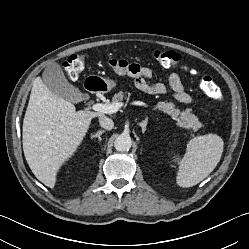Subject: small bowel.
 Listing matches in <instances>:
<instances>
[{"mask_svg": "<svg viewBox=\"0 0 249 249\" xmlns=\"http://www.w3.org/2000/svg\"><path fill=\"white\" fill-rule=\"evenodd\" d=\"M119 74H127L134 81L137 89L152 95H161L166 92V87L162 83L150 84L152 71L148 67L127 62L125 71H117ZM169 85L173 91L174 98L183 104H189L192 101L191 95L185 90L179 74L171 73L169 76Z\"/></svg>", "mask_w": 249, "mask_h": 249, "instance_id": "1", "label": "small bowel"}]
</instances>
